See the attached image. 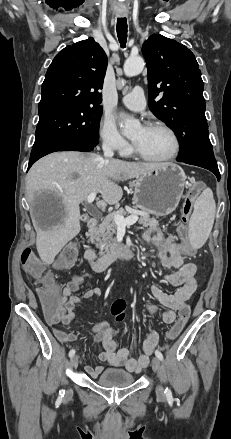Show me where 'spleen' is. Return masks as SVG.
I'll list each match as a JSON object with an SVG mask.
<instances>
[{
	"instance_id": "3e777b00",
	"label": "spleen",
	"mask_w": 231,
	"mask_h": 439,
	"mask_svg": "<svg viewBox=\"0 0 231 439\" xmlns=\"http://www.w3.org/2000/svg\"><path fill=\"white\" fill-rule=\"evenodd\" d=\"M215 211L213 192L206 188L195 201L189 222V241L193 248H200L207 241L213 227Z\"/></svg>"
}]
</instances>
